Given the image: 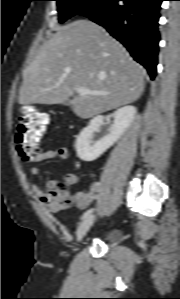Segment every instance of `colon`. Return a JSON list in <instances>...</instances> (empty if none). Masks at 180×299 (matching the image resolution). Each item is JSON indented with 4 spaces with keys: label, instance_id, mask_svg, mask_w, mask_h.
Masks as SVG:
<instances>
[{
    "label": "colon",
    "instance_id": "5ec220e1",
    "mask_svg": "<svg viewBox=\"0 0 180 299\" xmlns=\"http://www.w3.org/2000/svg\"><path fill=\"white\" fill-rule=\"evenodd\" d=\"M48 125V115L43 110L25 105L18 117L16 128V147L20 157L28 162H32L38 154V140L44 133ZM51 204L55 208L64 209L71 204V197L65 184H57L51 192Z\"/></svg>",
    "mask_w": 180,
    "mask_h": 299
}]
</instances>
